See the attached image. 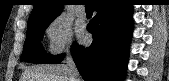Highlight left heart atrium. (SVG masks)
<instances>
[{"mask_svg":"<svg viewBox=\"0 0 169 81\" xmlns=\"http://www.w3.org/2000/svg\"><path fill=\"white\" fill-rule=\"evenodd\" d=\"M79 35H80V37H82V38H85V37H86V34H85V32H84L83 30H80V31H79Z\"/></svg>","mask_w":169,"mask_h":81,"instance_id":"left-heart-atrium-1","label":"left heart atrium"}]
</instances>
